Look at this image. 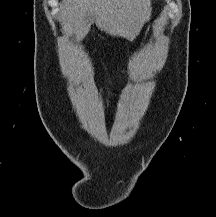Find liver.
Listing matches in <instances>:
<instances>
[{
	"label": "liver",
	"instance_id": "1",
	"mask_svg": "<svg viewBox=\"0 0 216 217\" xmlns=\"http://www.w3.org/2000/svg\"><path fill=\"white\" fill-rule=\"evenodd\" d=\"M150 14V0H63L62 28L82 40L92 23L112 36L133 39Z\"/></svg>",
	"mask_w": 216,
	"mask_h": 217
}]
</instances>
